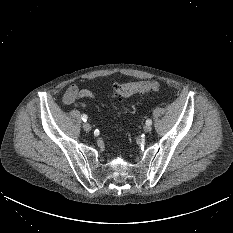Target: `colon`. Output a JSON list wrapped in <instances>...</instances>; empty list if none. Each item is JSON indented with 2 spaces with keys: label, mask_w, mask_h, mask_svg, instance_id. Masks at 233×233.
Masks as SVG:
<instances>
[{
  "label": "colon",
  "mask_w": 233,
  "mask_h": 233,
  "mask_svg": "<svg viewBox=\"0 0 233 233\" xmlns=\"http://www.w3.org/2000/svg\"><path fill=\"white\" fill-rule=\"evenodd\" d=\"M158 90L159 84L155 81L117 83L113 87L114 96L118 100L128 98L134 94L157 92Z\"/></svg>",
  "instance_id": "1"
}]
</instances>
